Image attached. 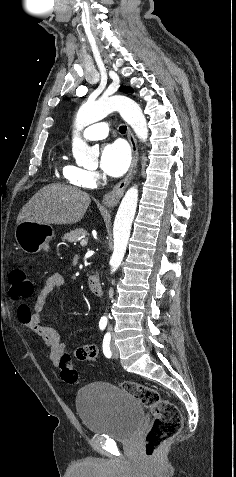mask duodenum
Returning <instances> with one entry per match:
<instances>
[{
	"instance_id": "410a0bca",
	"label": "duodenum",
	"mask_w": 236,
	"mask_h": 477,
	"mask_svg": "<svg viewBox=\"0 0 236 477\" xmlns=\"http://www.w3.org/2000/svg\"><path fill=\"white\" fill-rule=\"evenodd\" d=\"M88 287L90 291L95 295H102L103 288L101 284V280L97 275H90L88 278Z\"/></svg>"
}]
</instances>
